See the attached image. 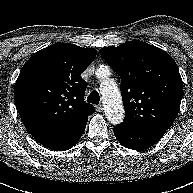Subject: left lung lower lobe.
Segmentation results:
<instances>
[{
	"label": "left lung lower lobe",
	"mask_w": 193,
	"mask_h": 193,
	"mask_svg": "<svg viewBox=\"0 0 193 193\" xmlns=\"http://www.w3.org/2000/svg\"><path fill=\"white\" fill-rule=\"evenodd\" d=\"M165 132L159 129L127 130L118 126L114 127V135L119 143L132 150H144L151 147L162 138Z\"/></svg>",
	"instance_id": "obj_1"
}]
</instances>
